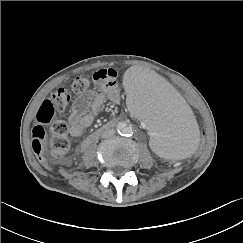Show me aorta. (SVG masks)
<instances>
[{
    "mask_svg": "<svg viewBox=\"0 0 243 243\" xmlns=\"http://www.w3.org/2000/svg\"><path fill=\"white\" fill-rule=\"evenodd\" d=\"M117 130L124 135L132 134V127L123 122H121L117 125Z\"/></svg>",
    "mask_w": 243,
    "mask_h": 243,
    "instance_id": "1",
    "label": "aorta"
}]
</instances>
